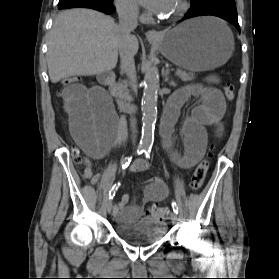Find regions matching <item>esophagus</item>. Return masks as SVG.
I'll list each match as a JSON object with an SVG mask.
<instances>
[{
	"instance_id": "obj_1",
	"label": "esophagus",
	"mask_w": 279,
	"mask_h": 279,
	"mask_svg": "<svg viewBox=\"0 0 279 279\" xmlns=\"http://www.w3.org/2000/svg\"><path fill=\"white\" fill-rule=\"evenodd\" d=\"M161 37V34L156 30H149L146 32V38L148 40H157Z\"/></svg>"
}]
</instances>
